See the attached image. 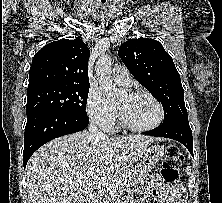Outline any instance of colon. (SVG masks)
<instances>
[{
	"mask_svg": "<svg viewBox=\"0 0 222 203\" xmlns=\"http://www.w3.org/2000/svg\"><path fill=\"white\" fill-rule=\"evenodd\" d=\"M183 160V155L179 148L169 145L162 161L161 177L168 184H176L179 178V168Z\"/></svg>",
	"mask_w": 222,
	"mask_h": 203,
	"instance_id": "obj_1",
	"label": "colon"
}]
</instances>
